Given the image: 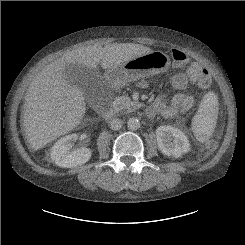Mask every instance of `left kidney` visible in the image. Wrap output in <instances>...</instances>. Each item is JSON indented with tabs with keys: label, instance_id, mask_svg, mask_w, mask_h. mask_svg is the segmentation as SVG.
I'll return each mask as SVG.
<instances>
[{
	"label": "left kidney",
	"instance_id": "5707ae66",
	"mask_svg": "<svg viewBox=\"0 0 245 245\" xmlns=\"http://www.w3.org/2000/svg\"><path fill=\"white\" fill-rule=\"evenodd\" d=\"M159 150L168 157L179 158L190 151V143L180 129L162 125L156 129Z\"/></svg>",
	"mask_w": 245,
	"mask_h": 245
}]
</instances>
